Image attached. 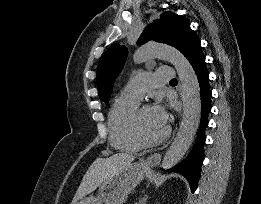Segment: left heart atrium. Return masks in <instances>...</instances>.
Listing matches in <instances>:
<instances>
[{"label": "left heart atrium", "mask_w": 261, "mask_h": 204, "mask_svg": "<svg viewBox=\"0 0 261 204\" xmlns=\"http://www.w3.org/2000/svg\"><path fill=\"white\" fill-rule=\"evenodd\" d=\"M152 110L158 123L163 127H167L169 116L164 103L161 100H158L152 106Z\"/></svg>", "instance_id": "left-heart-atrium-1"}]
</instances>
